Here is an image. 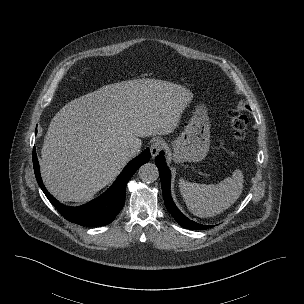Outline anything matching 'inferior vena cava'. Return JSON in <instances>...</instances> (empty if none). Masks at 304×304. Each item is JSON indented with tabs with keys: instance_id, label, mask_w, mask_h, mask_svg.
Instances as JSON below:
<instances>
[{
	"instance_id": "inferior-vena-cava-1",
	"label": "inferior vena cava",
	"mask_w": 304,
	"mask_h": 304,
	"mask_svg": "<svg viewBox=\"0 0 304 304\" xmlns=\"http://www.w3.org/2000/svg\"><path fill=\"white\" fill-rule=\"evenodd\" d=\"M140 149H141V146L139 144L131 143L126 147V153L129 157H133L137 153H139Z\"/></svg>"
}]
</instances>
